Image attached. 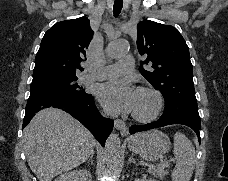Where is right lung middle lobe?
<instances>
[{"instance_id":"right-lung-middle-lobe-1","label":"right lung middle lobe","mask_w":228,"mask_h":181,"mask_svg":"<svg viewBox=\"0 0 228 181\" xmlns=\"http://www.w3.org/2000/svg\"><path fill=\"white\" fill-rule=\"evenodd\" d=\"M76 75H59L33 79L30 96L56 94L75 100H85L92 95L85 92L76 81Z\"/></svg>"}]
</instances>
